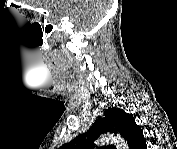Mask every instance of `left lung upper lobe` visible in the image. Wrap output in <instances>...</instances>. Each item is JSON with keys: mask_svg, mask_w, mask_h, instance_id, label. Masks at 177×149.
I'll return each mask as SVG.
<instances>
[{"mask_svg": "<svg viewBox=\"0 0 177 149\" xmlns=\"http://www.w3.org/2000/svg\"><path fill=\"white\" fill-rule=\"evenodd\" d=\"M106 132L121 134L132 149H140L142 139H145L143 131L135 123L132 115L119 108H108L104 112V117H99L86 133L64 144L61 149H93L94 140ZM106 148L115 147L107 146Z\"/></svg>", "mask_w": 177, "mask_h": 149, "instance_id": "left-lung-upper-lobe-1", "label": "left lung upper lobe"}]
</instances>
